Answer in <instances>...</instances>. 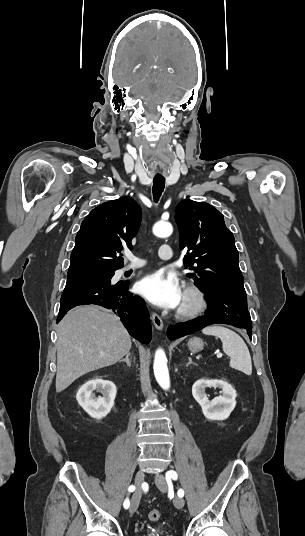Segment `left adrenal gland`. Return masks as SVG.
Returning a JSON list of instances; mask_svg holds the SVG:
<instances>
[{
	"mask_svg": "<svg viewBox=\"0 0 305 536\" xmlns=\"http://www.w3.org/2000/svg\"><path fill=\"white\" fill-rule=\"evenodd\" d=\"M188 360H189V362H188V364H187V368H188V366H190V364H193V362H192V358H188Z\"/></svg>",
	"mask_w": 305,
	"mask_h": 536,
	"instance_id": "left-adrenal-gland-1",
	"label": "left adrenal gland"
}]
</instances>
